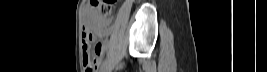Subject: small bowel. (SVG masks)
Returning <instances> with one entry per match:
<instances>
[{
	"instance_id": "1",
	"label": "small bowel",
	"mask_w": 267,
	"mask_h": 72,
	"mask_svg": "<svg viewBox=\"0 0 267 72\" xmlns=\"http://www.w3.org/2000/svg\"><path fill=\"white\" fill-rule=\"evenodd\" d=\"M97 34L99 37L101 38H105L108 36L109 34V28L107 26H103L97 29ZM90 42L89 37H88V29L85 30L84 35H83V39H82V49H84L86 47V45H88ZM103 49H104V45L103 44H99V48L97 51V65L99 66L100 61H101V57L103 55ZM83 61H84V57H83ZM96 65V67H97ZM96 67L94 68V71L96 70ZM92 71V72H94ZM86 72H90L89 70H86Z\"/></svg>"
}]
</instances>
